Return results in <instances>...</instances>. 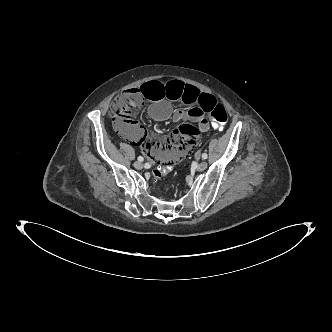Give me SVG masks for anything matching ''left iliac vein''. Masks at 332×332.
Returning <instances> with one entry per match:
<instances>
[{
  "label": "left iliac vein",
  "instance_id": "left-iliac-vein-1",
  "mask_svg": "<svg viewBox=\"0 0 332 332\" xmlns=\"http://www.w3.org/2000/svg\"><path fill=\"white\" fill-rule=\"evenodd\" d=\"M207 167H208V163L205 161H202L196 166V169L198 171H202V170H205Z\"/></svg>",
  "mask_w": 332,
  "mask_h": 332
}]
</instances>
